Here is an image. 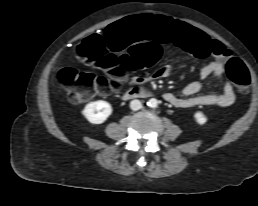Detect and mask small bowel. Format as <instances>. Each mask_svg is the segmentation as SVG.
<instances>
[{"label": "small bowel", "instance_id": "obj_1", "mask_svg": "<svg viewBox=\"0 0 258 206\" xmlns=\"http://www.w3.org/2000/svg\"><path fill=\"white\" fill-rule=\"evenodd\" d=\"M177 46L185 51L193 54L209 53L214 57V60L208 65L204 66L200 71L202 79L213 75L222 77L225 73V65L227 61L233 57L230 49L225 47L221 42L210 39L202 31L186 26L183 31L174 39ZM88 41L93 43L104 42L105 45L112 49L121 50V44L116 39L114 33L109 31L106 33L105 39L93 37ZM171 72V65H165L158 69L153 75L147 77L133 76L127 79L130 86H142L152 82L154 79L164 78ZM202 84L198 81L187 84L181 91V97H177L171 92L163 94L165 101L177 108H192L198 106H219L228 107L235 101V92L230 83H226L223 91L220 94H199Z\"/></svg>", "mask_w": 258, "mask_h": 206}]
</instances>
